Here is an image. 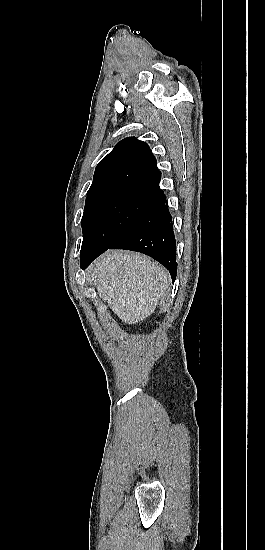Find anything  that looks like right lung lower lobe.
<instances>
[{"mask_svg": "<svg viewBox=\"0 0 265 550\" xmlns=\"http://www.w3.org/2000/svg\"><path fill=\"white\" fill-rule=\"evenodd\" d=\"M165 202L164 192L160 190L157 198L137 222L107 249H127L144 253L165 266L174 282L177 274L176 241L171 215ZM107 249L81 256L80 267L87 268Z\"/></svg>", "mask_w": 265, "mask_h": 550, "instance_id": "98d812e1", "label": "right lung lower lobe"}]
</instances>
